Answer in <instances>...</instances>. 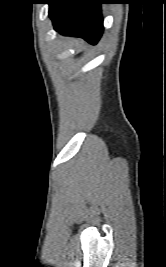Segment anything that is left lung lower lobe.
Segmentation results:
<instances>
[{
  "mask_svg": "<svg viewBox=\"0 0 166 267\" xmlns=\"http://www.w3.org/2000/svg\"><path fill=\"white\" fill-rule=\"evenodd\" d=\"M54 29L96 44L103 32L102 0H48Z\"/></svg>",
  "mask_w": 166,
  "mask_h": 267,
  "instance_id": "0a47b994",
  "label": "left lung lower lobe"
}]
</instances>
